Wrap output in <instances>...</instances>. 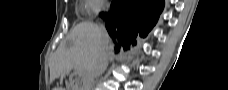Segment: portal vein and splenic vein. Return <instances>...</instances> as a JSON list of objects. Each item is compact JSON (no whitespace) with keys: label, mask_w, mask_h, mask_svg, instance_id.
Wrapping results in <instances>:
<instances>
[{"label":"portal vein and splenic vein","mask_w":228,"mask_h":90,"mask_svg":"<svg viewBox=\"0 0 228 90\" xmlns=\"http://www.w3.org/2000/svg\"><path fill=\"white\" fill-rule=\"evenodd\" d=\"M76 69V71H77V73H78V75L81 77V76H84V71L81 69V68H79V67H76L75 68Z\"/></svg>","instance_id":"18ae733b"}]
</instances>
